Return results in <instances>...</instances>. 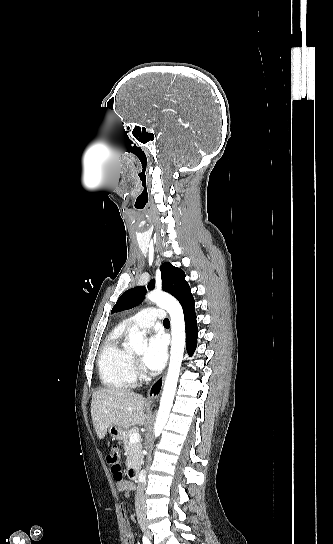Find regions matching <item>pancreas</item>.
Instances as JSON below:
<instances>
[{
    "instance_id": "pancreas-1",
    "label": "pancreas",
    "mask_w": 333,
    "mask_h": 544,
    "mask_svg": "<svg viewBox=\"0 0 333 544\" xmlns=\"http://www.w3.org/2000/svg\"><path fill=\"white\" fill-rule=\"evenodd\" d=\"M137 431H138V428H132V429L126 430L124 436L122 437L123 444H124V450L126 451V454H127V459H126L127 466H131L134 463L139 462L140 458L142 456V453H141L142 446H141V444L140 443H134V444L130 443L131 434H133V433H135Z\"/></svg>"
}]
</instances>
